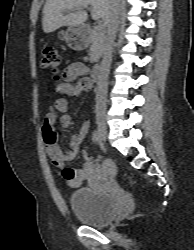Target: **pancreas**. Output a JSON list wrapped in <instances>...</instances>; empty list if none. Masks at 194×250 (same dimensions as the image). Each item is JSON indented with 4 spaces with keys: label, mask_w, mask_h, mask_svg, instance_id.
Listing matches in <instances>:
<instances>
[{
    "label": "pancreas",
    "mask_w": 194,
    "mask_h": 250,
    "mask_svg": "<svg viewBox=\"0 0 194 250\" xmlns=\"http://www.w3.org/2000/svg\"><path fill=\"white\" fill-rule=\"evenodd\" d=\"M105 40V29H97L94 27L89 32V41H90V61L98 62L102 56Z\"/></svg>",
    "instance_id": "1"
}]
</instances>
